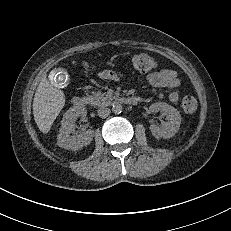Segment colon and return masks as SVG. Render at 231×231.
Returning a JSON list of instances; mask_svg holds the SVG:
<instances>
[{"label":"colon","instance_id":"5ec220e1","mask_svg":"<svg viewBox=\"0 0 231 231\" xmlns=\"http://www.w3.org/2000/svg\"><path fill=\"white\" fill-rule=\"evenodd\" d=\"M133 69L139 73H149L157 68V61L145 53H137L132 57ZM182 108L186 113H193L197 109V100L193 96H186L182 100Z\"/></svg>","mask_w":231,"mask_h":231}]
</instances>
